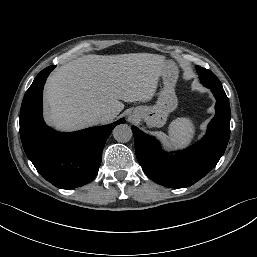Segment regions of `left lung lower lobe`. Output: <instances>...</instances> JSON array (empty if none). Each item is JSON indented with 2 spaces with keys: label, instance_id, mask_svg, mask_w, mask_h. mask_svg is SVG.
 Listing matches in <instances>:
<instances>
[{
  "label": "left lung lower lobe",
  "instance_id": "0a47b994",
  "mask_svg": "<svg viewBox=\"0 0 257 257\" xmlns=\"http://www.w3.org/2000/svg\"><path fill=\"white\" fill-rule=\"evenodd\" d=\"M211 91L216 98V114L206 136L175 156H167L157 141L132 126L137 159L154 182L171 188L191 186L212 170L224 154L230 135V105L224 89Z\"/></svg>",
  "mask_w": 257,
  "mask_h": 257
}]
</instances>
